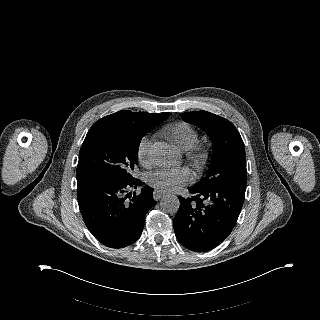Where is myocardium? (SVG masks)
<instances>
[{
  "mask_svg": "<svg viewBox=\"0 0 320 320\" xmlns=\"http://www.w3.org/2000/svg\"><path fill=\"white\" fill-rule=\"evenodd\" d=\"M203 157V154L199 151H189V158L196 164H198Z\"/></svg>",
  "mask_w": 320,
  "mask_h": 320,
  "instance_id": "f54148a6",
  "label": "myocardium"
}]
</instances>
